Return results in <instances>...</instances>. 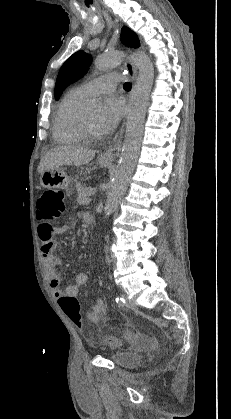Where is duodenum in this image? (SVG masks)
<instances>
[{"instance_id": "duodenum-1", "label": "duodenum", "mask_w": 231, "mask_h": 419, "mask_svg": "<svg viewBox=\"0 0 231 419\" xmlns=\"http://www.w3.org/2000/svg\"><path fill=\"white\" fill-rule=\"evenodd\" d=\"M86 222H87L89 225H92V224L94 223V219H93V217L88 216V217H87V219H86Z\"/></svg>"}]
</instances>
